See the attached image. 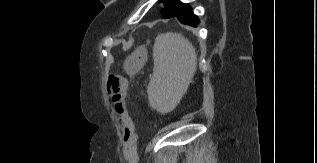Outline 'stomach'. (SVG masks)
<instances>
[{"label":"stomach","mask_w":317,"mask_h":163,"mask_svg":"<svg viewBox=\"0 0 317 163\" xmlns=\"http://www.w3.org/2000/svg\"><path fill=\"white\" fill-rule=\"evenodd\" d=\"M147 57L148 54L146 48L143 46L138 47L124 62L126 72L130 74L138 72L146 63Z\"/></svg>","instance_id":"1"}]
</instances>
